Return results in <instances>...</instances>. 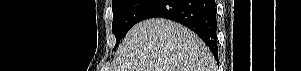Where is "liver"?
<instances>
[{
    "instance_id": "1",
    "label": "liver",
    "mask_w": 301,
    "mask_h": 71,
    "mask_svg": "<svg viewBox=\"0 0 301 71\" xmlns=\"http://www.w3.org/2000/svg\"><path fill=\"white\" fill-rule=\"evenodd\" d=\"M114 61L111 71H216L212 53L196 34L162 18L133 26Z\"/></svg>"
}]
</instances>
